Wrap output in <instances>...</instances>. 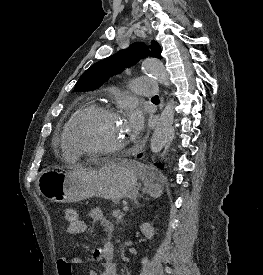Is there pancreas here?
<instances>
[{
	"label": "pancreas",
	"instance_id": "pancreas-1",
	"mask_svg": "<svg viewBox=\"0 0 263 275\" xmlns=\"http://www.w3.org/2000/svg\"><path fill=\"white\" fill-rule=\"evenodd\" d=\"M112 216L116 218L117 222H121L122 218L124 216V213L121 212L120 210H113L112 211Z\"/></svg>",
	"mask_w": 263,
	"mask_h": 275
}]
</instances>
